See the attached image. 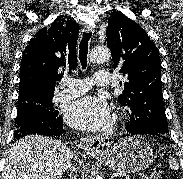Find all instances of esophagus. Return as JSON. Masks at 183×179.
<instances>
[{
    "instance_id": "obj_1",
    "label": "esophagus",
    "mask_w": 183,
    "mask_h": 179,
    "mask_svg": "<svg viewBox=\"0 0 183 179\" xmlns=\"http://www.w3.org/2000/svg\"><path fill=\"white\" fill-rule=\"evenodd\" d=\"M85 33H94V28L92 26L86 25L83 28ZM112 143V138L108 136L93 135L84 137L81 139V147L88 154H100L105 148L110 146Z\"/></svg>"
}]
</instances>
